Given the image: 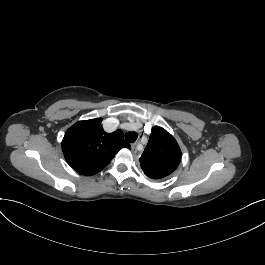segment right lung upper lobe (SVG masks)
Returning a JSON list of instances; mask_svg holds the SVG:
<instances>
[{
    "instance_id": "cb5924a9",
    "label": "right lung upper lobe",
    "mask_w": 265,
    "mask_h": 265,
    "mask_svg": "<svg viewBox=\"0 0 265 265\" xmlns=\"http://www.w3.org/2000/svg\"><path fill=\"white\" fill-rule=\"evenodd\" d=\"M101 122L102 118L79 121L66 131L62 141L66 161L85 176L100 172L121 148L130 149L121 130L106 133Z\"/></svg>"
}]
</instances>
